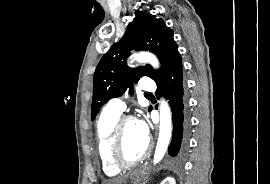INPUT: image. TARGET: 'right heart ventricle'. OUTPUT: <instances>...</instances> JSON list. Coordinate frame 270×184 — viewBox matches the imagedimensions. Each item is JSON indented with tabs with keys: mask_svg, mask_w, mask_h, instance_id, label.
Wrapping results in <instances>:
<instances>
[{
	"mask_svg": "<svg viewBox=\"0 0 270 184\" xmlns=\"http://www.w3.org/2000/svg\"><path fill=\"white\" fill-rule=\"evenodd\" d=\"M121 113L111 110L106 107L100 114L97 126H96V136L98 145V154L101 163L102 170L107 176H116L120 173L121 169L114 166L110 160V142L114 126Z\"/></svg>",
	"mask_w": 270,
	"mask_h": 184,
	"instance_id": "obj_1",
	"label": "right heart ventricle"
}]
</instances>
